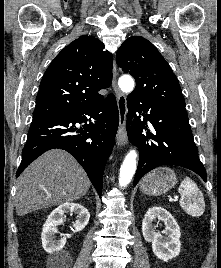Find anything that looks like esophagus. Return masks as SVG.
Instances as JSON below:
<instances>
[{
  "label": "esophagus",
  "instance_id": "34e87169",
  "mask_svg": "<svg viewBox=\"0 0 221 268\" xmlns=\"http://www.w3.org/2000/svg\"><path fill=\"white\" fill-rule=\"evenodd\" d=\"M112 87L116 94L117 107L119 111V127L116 135V143L118 146H124L127 142L126 116L128 109L126 96L117 87V69L115 63L113 64Z\"/></svg>",
  "mask_w": 221,
  "mask_h": 268
}]
</instances>
